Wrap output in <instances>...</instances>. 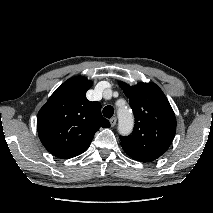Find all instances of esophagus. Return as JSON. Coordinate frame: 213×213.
<instances>
[{
    "mask_svg": "<svg viewBox=\"0 0 213 213\" xmlns=\"http://www.w3.org/2000/svg\"><path fill=\"white\" fill-rule=\"evenodd\" d=\"M116 122H117V118L116 117H112L110 119V124H111V127H114L116 125Z\"/></svg>",
    "mask_w": 213,
    "mask_h": 213,
    "instance_id": "34e87169",
    "label": "esophagus"
}]
</instances>
